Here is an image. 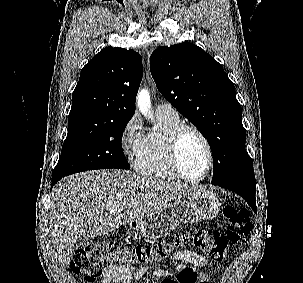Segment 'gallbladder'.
<instances>
[{
  "label": "gallbladder",
  "instance_id": "gallbladder-1",
  "mask_svg": "<svg viewBox=\"0 0 303 283\" xmlns=\"http://www.w3.org/2000/svg\"><path fill=\"white\" fill-rule=\"evenodd\" d=\"M91 241L92 237L81 236L75 242V249H84Z\"/></svg>",
  "mask_w": 303,
  "mask_h": 283
}]
</instances>
